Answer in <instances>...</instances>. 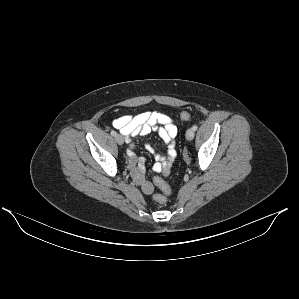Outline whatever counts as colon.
Listing matches in <instances>:
<instances>
[{"label":"colon","mask_w":299,"mask_h":299,"mask_svg":"<svg viewBox=\"0 0 299 299\" xmlns=\"http://www.w3.org/2000/svg\"><path fill=\"white\" fill-rule=\"evenodd\" d=\"M190 118V114L188 112H182L180 115V119L183 121H186ZM157 186L161 189V191L163 192V194H156L154 196V199L160 203V204H164L166 202L167 199V195L170 194V187L169 185L163 181L162 179L157 180Z\"/></svg>","instance_id":"5ec220e1"}]
</instances>
